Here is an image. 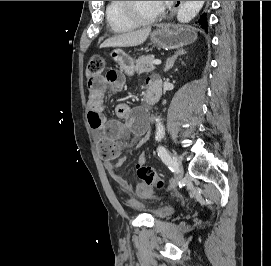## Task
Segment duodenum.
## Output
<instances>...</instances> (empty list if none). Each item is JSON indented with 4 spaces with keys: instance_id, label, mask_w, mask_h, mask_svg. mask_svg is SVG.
Returning <instances> with one entry per match:
<instances>
[{
    "instance_id": "1",
    "label": "duodenum",
    "mask_w": 271,
    "mask_h": 266,
    "mask_svg": "<svg viewBox=\"0 0 271 266\" xmlns=\"http://www.w3.org/2000/svg\"><path fill=\"white\" fill-rule=\"evenodd\" d=\"M160 95H161V90L159 86H157V84L155 83H151L149 84V87L146 91L145 101L150 105L154 104L159 100Z\"/></svg>"
}]
</instances>
